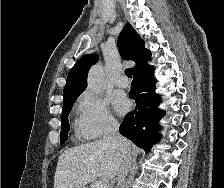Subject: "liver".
I'll return each mask as SVG.
<instances>
[{"label":"liver","instance_id":"6515ba94","mask_svg":"<svg viewBox=\"0 0 224 188\" xmlns=\"http://www.w3.org/2000/svg\"><path fill=\"white\" fill-rule=\"evenodd\" d=\"M120 159L118 149L103 140L67 149L58 159L54 188H86L97 178L113 179L119 171Z\"/></svg>","mask_w":224,"mask_h":188}]
</instances>
